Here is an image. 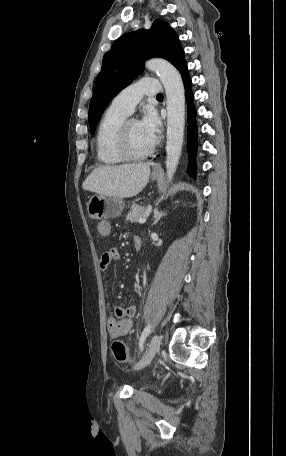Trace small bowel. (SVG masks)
<instances>
[{"label":"small bowel","mask_w":286,"mask_h":456,"mask_svg":"<svg viewBox=\"0 0 286 456\" xmlns=\"http://www.w3.org/2000/svg\"><path fill=\"white\" fill-rule=\"evenodd\" d=\"M97 231L101 236L111 234V224L108 221H101L97 225ZM120 260V252L117 248H110L104 251L99 259V266L103 273L108 271L110 264ZM136 306H116L114 315L107 319V331L111 337L117 338L127 335L132 329V319L136 315Z\"/></svg>","instance_id":"small-bowel-1"}]
</instances>
